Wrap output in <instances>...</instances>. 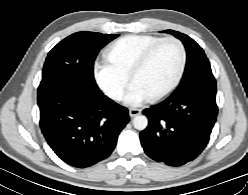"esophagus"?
<instances>
[{
	"instance_id": "esophagus-1",
	"label": "esophagus",
	"mask_w": 248,
	"mask_h": 195,
	"mask_svg": "<svg viewBox=\"0 0 248 195\" xmlns=\"http://www.w3.org/2000/svg\"><path fill=\"white\" fill-rule=\"evenodd\" d=\"M131 114L133 115V114H136V113H138L139 112V109H131Z\"/></svg>"
}]
</instances>
